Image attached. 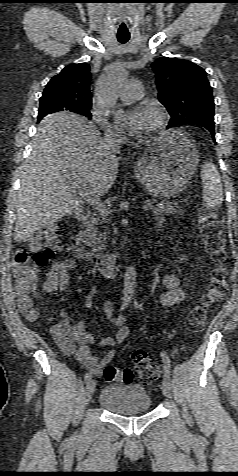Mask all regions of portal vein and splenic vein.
<instances>
[{
    "instance_id": "obj_1",
    "label": "portal vein and splenic vein",
    "mask_w": 238,
    "mask_h": 476,
    "mask_svg": "<svg viewBox=\"0 0 238 476\" xmlns=\"http://www.w3.org/2000/svg\"><path fill=\"white\" fill-rule=\"evenodd\" d=\"M72 187L76 190V192L83 198H85L87 201L90 202V204L98 210L101 214H110L111 211L104 205L99 198L96 197H91L90 194L84 190V185L81 182H72ZM152 207V203L150 200L145 201L143 205V209L147 210Z\"/></svg>"
}]
</instances>
